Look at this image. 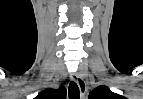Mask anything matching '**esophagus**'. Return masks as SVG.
I'll return each instance as SVG.
<instances>
[{
    "mask_svg": "<svg viewBox=\"0 0 143 99\" xmlns=\"http://www.w3.org/2000/svg\"><path fill=\"white\" fill-rule=\"evenodd\" d=\"M72 78L77 83V85L80 89L81 95L84 96L86 93L85 80L83 79V77L79 73L75 74Z\"/></svg>",
    "mask_w": 143,
    "mask_h": 99,
    "instance_id": "1",
    "label": "esophagus"
}]
</instances>
